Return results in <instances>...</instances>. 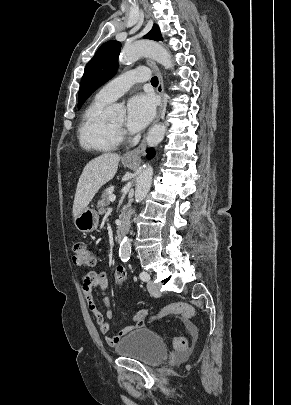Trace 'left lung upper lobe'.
<instances>
[{
    "label": "left lung upper lobe",
    "mask_w": 291,
    "mask_h": 405,
    "mask_svg": "<svg viewBox=\"0 0 291 405\" xmlns=\"http://www.w3.org/2000/svg\"><path fill=\"white\" fill-rule=\"evenodd\" d=\"M145 38L162 41L158 25H154ZM121 43L115 40L104 43L94 57L85 67L78 95V109L98 87L107 82L116 72L117 59L120 53Z\"/></svg>",
    "instance_id": "1"
}]
</instances>
